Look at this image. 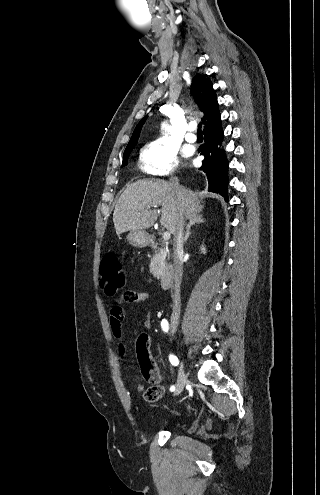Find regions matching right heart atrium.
I'll use <instances>...</instances> for the list:
<instances>
[{
  "instance_id": "d8ad5b80",
  "label": "right heart atrium",
  "mask_w": 320,
  "mask_h": 495,
  "mask_svg": "<svg viewBox=\"0 0 320 495\" xmlns=\"http://www.w3.org/2000/svg\"><path fill=\"white\" fill-rule=\"evenodd\" d=\"M139 165L148 174L157 177L169 176L179 166L177 149L165 139L150 141L141 150Z\"/></svg>"
}]
</instances>
